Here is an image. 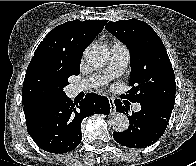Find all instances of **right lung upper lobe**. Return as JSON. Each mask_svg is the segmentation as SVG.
I'll list each match as a JSON object with an SVG mask.
<instances>
[{"label":"right lung upper lobe","instance_id":"right-lung-upper-lobe-1","mask_svg":"<svg viewBox=\"0 0 196 166\" xmlns=\"http://www.w3.org/2000/svg\"><path fill=\"white\" fill-rule=\"evenodd\" d=\"M106 23L107 20H73L55 27L35 50L28 68L43 64L65 74H79L85 48Z\"/></svg>","mask_w":196,"mask_h":166}]
</instances>
